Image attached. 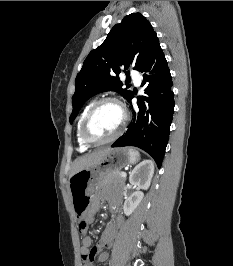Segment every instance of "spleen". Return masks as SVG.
<instances>
[{
    "instance_id": "spleen-1",
    "label": "spleen",
    "mask_w": 233,
    "mask_h": 266,
    "mask_svg": "<svg viewBox=\"0 0 233 266\" xmlns=\"http://www.w3.org/2000/svg\"><path fill=\"white\" fill-rule=\"evenodd\" d=\"M128 151H129V154L131 156L133 163H136L140 157L139 152L135 149H132V148H130Z\"/></svg>"
}]
</instances>
